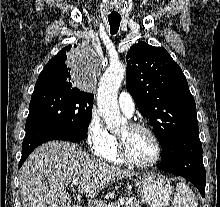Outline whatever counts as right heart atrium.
Returning <instances> with one entry per match:
<instances>
[{
  "mask_svg": "<svg viewBox=\"0 0 220 207\" xmlns=\"http://www.w3.org/2000/svg\"><path fill=\"white\" fill-rule=\"evenodd\" d=\"M112 136L99 112L93 109L87 124V143L90 149L95 154L102 151L111 143Z\"/></svg>",
  "mask_w": 220,
  "mask_h": 207,
  "instance_id": "d8ad5b80",
  "label": "right heart atrium"
}]
</instances>
